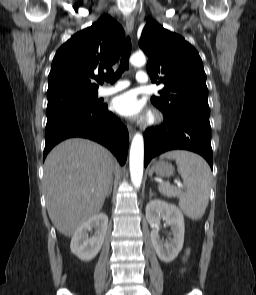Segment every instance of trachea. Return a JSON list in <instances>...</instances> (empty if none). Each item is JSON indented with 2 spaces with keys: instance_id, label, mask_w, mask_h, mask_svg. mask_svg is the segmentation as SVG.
<instances>
[{
  "instance_id": "1",
  "label": "trachea",
  "mask_w": 256,
  "mask_h": 295,
  "mask_svg": "<svg viewBox=\"0 0 256 295\" xmlns=\"http://www.w3.org/2000/svg\"><path fill=\"white\" fill-rule=\"evenodd\" d=\"M130 54H131V40L129 37H127L124 43L123 51H122L120 66L117 72L113 75L104 77V80L110 82L111 84L116 82L119 79V77L123 74V72L129 69Z\"/></svg>"
}]
</instances>
